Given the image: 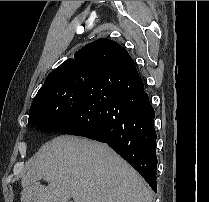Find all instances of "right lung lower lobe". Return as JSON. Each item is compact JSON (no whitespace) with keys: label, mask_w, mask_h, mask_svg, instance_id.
<instances>
[{"label":"right lung lower lobe","mask_w":209,"mask_h":202,"mask_svg":"<svg viewBox=\"0 0 209 202\" xmlns=\"http://www.w3.org/2000/svg\"><path fill=\"white\" fill-rule=\"evenodd\" d=\"M155 112L131 60L89 84L78 111L62 128L66 133L108 144L157 191Z\"/></svg>","instance_id":"1"}]
</instances>
